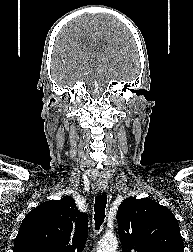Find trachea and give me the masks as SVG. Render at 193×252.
I'll list each match as a JSON object with an SVG mask.
<instances>
[{
	"mask_svg": "<svg viewBox=\"0 0 193 252\" xmlns=\"http://www.w3.org/2000/svg\"><path fill=\"white\" fill-rule=\"evenodd\" d=\"M107 204V195L103 193L95 198L94 204V220L95 229L99 230L105 219V208Z\"/></svg>",
	"mask_w": 193,
	"mask_h": 252,
	"instance_id": "1",
	"label": "trachea"
}]
</instances>
